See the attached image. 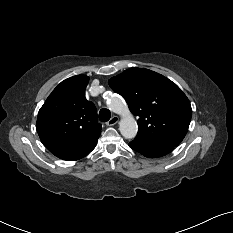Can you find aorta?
Wrapping results in <instances>:
<instances>
[{
  "label": "aorta",
  "mask_w": 233,
  "mask_h": 233,
  "mask_svg": "<svg viewBox=\"0 0 233 233\" xmlns=\"http://www.w3.org/2000/svg\"><path fill=\"white\" fill-rule=\"evenodd\" d=\"M108 107L113 112L121 115L119 130L122 136L126 139L135 138L138 132V125L125 101L118 95H112L108 101Z\"/></svg>",
  "instance_id": "aorta-1"
}]
</instances>
